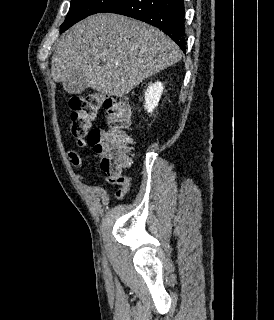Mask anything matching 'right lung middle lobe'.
Segmentation results:
<instances>
[{"label": "right lung middle lobe", "instance_id": "obj_1", "mask_svg": "<svg viewBox=\"0 0 274 320\" xmlns=\"http://www.w3.org/2000/svg\"><path fill=\"white\" fill-rule=\"evenodd\" d=\"M115 1L116 0H71L69 13L61 25L60 30L65 31L87 16L100 13Z\"/></svg>", "mask_w": 274, "mask_h": 320}]
</instances>
